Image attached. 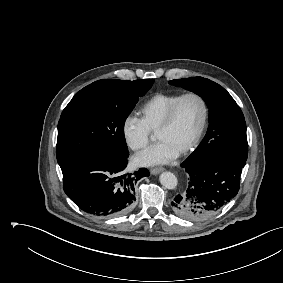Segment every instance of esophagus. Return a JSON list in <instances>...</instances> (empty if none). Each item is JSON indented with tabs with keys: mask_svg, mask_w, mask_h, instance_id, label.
<instances>
[{
	"mask_svg": "<svg viewBox=\"0 0 283 283\" xmlns=\"http://www.w3.org/2000/svg\"><path fill=\"white\" fill-rule=\"evenodd\" d=\"M164 170H165L164 168L158 167V168H152V169L150 170V172H151V174H153V175H157V174L161 173V172L164 171Z\"/></svg>",
	"mask_w": 283,
	"mask_h": 283,
	"instance_id": "obj_1",
	"label": "esophagus"
}]
</instances>
